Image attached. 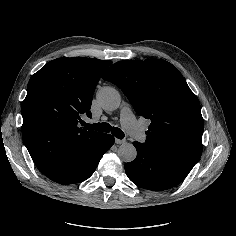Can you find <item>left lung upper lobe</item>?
Listing matches in <instances>:
<instances>
[{"instance_id": "5c2ea615", "label": "left lung upper lobe", "mask_w": 236, "mask_h": 236, "mask_svg": "<svg viewBox=\"0 0 236 236\" xmlns=\"http://www.w3.org/2000/svg\"><path fill=\"white\" fill-rule=\"evenodd\" d=\"M102 78L117 85L136 113L151 121L144 144L193 168L202 154L204 121L198 98L175 66L161 59L125 60Z\"/></svg>"}]
</instances>
